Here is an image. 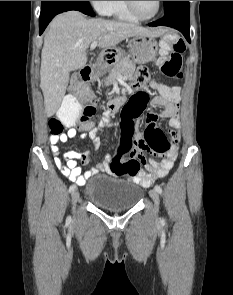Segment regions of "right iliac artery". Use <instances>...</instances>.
I'll use <instances>...</instances> for the list:
<instances>
[{
	"mask_svg": "<svg viewBox=\"0 0 233 295\" xmlns=\"http://www.w3.org/2000/svg\"><path fill=\"white\" fill-rule=\"evenodd\" d=\"M76 189V185L73 184L69 187V192H73Z\"/></svg>",
	"mask_w": 233,
	"mask_h": 295,
	"instance_id": "1",
	"label": "right iliac artery"
}]
</instances>
